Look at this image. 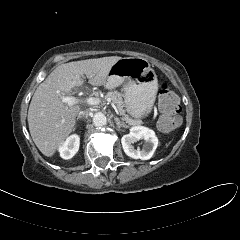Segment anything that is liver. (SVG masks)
Listing matches in <instances>:
<instances>
[{
    "label": "liver",
    "instance_id": "1",
    "mask_svg": "<svg viewBox=\"0 0 240 240\" xmlns=\"http://www.w3.org/2000/svg\"><path fill=\"white\" fill-rule=\"evenodd\" d=\"M121 57L111 56L62 64L36 89L28 110V125L37 148L47 157L55 154L74 129L80 105H67L61 97L83 84L86 75L93 86L105 85L112 66Z\"/></svg>",
    "mask_w": 240,
    "mask_h": 240
}]
</instances>
